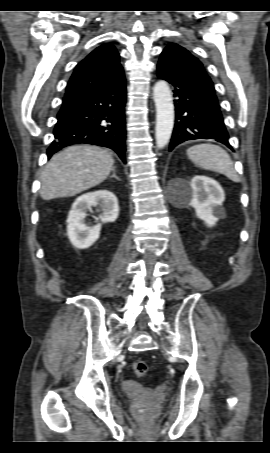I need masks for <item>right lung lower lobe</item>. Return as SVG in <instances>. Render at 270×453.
Returning <instances> with one entry per match:
<instances>
[{
    "label": "right lung lower lobe",
    "instance_id": "1",
    "mask_svg": "<svg viewBox=\"0 0 270 453\" xmlns=\"http://www.w3.org/2000/svg\"><path fill=\"white\" fill-rule=\"evenodd\" d=\"M125 102L124 73L98 90L65 95L48 158L64 147L88 143L113 149L125 162Z\"/></svg>",
    "mask_w": 270,
    "mask_h": 453
}]
</instances>
